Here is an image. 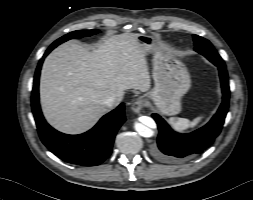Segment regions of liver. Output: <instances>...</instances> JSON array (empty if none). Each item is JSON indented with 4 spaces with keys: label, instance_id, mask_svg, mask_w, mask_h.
<instances>
[{
    "label": "liver",
    "instance_id": "liver-1",
    "mask_svg": "<svg viewBox=\"0 0 253 200\" xmlns=\"http://www.w3.org/2000/svg\"><path fill=\"white\" fill-rule=\"evenodd\" d=\"M136 38L134 33L109 36L92 52L75 41L54 49L40 77L47 121L59 131L82 133L108 112L103 103L107 96L115 95L118 104L125 90L147 92L151 86L148 54Z\"/></svg>",
    "mask_w": 253,
    "mask_h": 200
}]
</instances>
